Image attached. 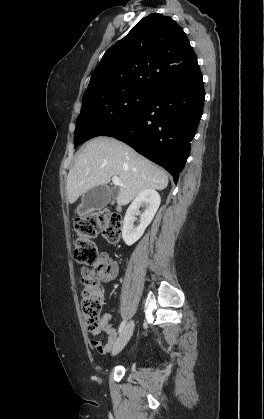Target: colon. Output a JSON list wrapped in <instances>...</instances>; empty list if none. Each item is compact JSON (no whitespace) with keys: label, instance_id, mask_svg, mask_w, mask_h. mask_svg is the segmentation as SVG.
<instances>
[{"label":"colon","instance_id":"5ec220e1","mask_svg":"<svg viewBox=\"0 0 264 419\" xmlns=\"http://www.w3.org/2000/svg\"><path fill=\"white\" fill-rule=\"evenodd\" d=\"M74 228L77 238L74 244V258L78 263L93 265L97 262L98 248L94 238L102 235L111 244L121 237L122 219L119 215L97 212L75 219ZM103 306L101 290L93 283H87L82 292L81 308L88 330L100 329V314Z\"/></svg>","mask_w":264,"mask_h":419}]
</instances>
